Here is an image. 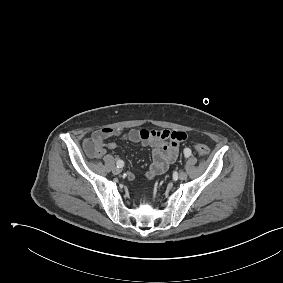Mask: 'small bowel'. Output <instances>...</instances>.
Segmentation results:
<instances>
[{
  "mask_svg": "<svg viewBox=\"0 0 283 283\" xmlns=\"http://www.w3.org/2000/svg\"><path fill=\"white\" fill-rule=\"evenodd\" d=\"M186 137V133L182 131L147 129L123 131L120 129L103 128L95 131L91 139L97 141L100 145L108 138H117L140 143L142 146H150L152 148L153 161L145 172V177L147 180H152L155 176L164 173L176 160L179 145ZM105 147L109 150H114L117 144L114 141H110L105 144ZM102 153H104V148H102ZM127 178L132 180L135 178V174L128 172Z\"/></svg>",
  "mask_w": 283,
  "mask_h": 283,
  "instance_id": "1",
  "label": "small bowel"
}]
</instances>
